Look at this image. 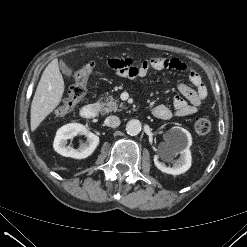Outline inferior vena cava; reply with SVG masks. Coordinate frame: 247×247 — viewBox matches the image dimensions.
Wrapping results in <instances>:
<instances>
[{"mask_svg":"<svg viewBox=\"0 0 247 247\" xmlns=\"http://www.w3.org/2000/svg\"><path fill=\"white\" fill-rule=\"evenodd\" d=\"M105 123L107 126L115 128L120 125L121 121L117 116H109L106 118Z\"/></svg>","mask_w":247,"mask_h":247,"instance_id":"602c4592","label":"inferior vena cava"}]
</instances>
